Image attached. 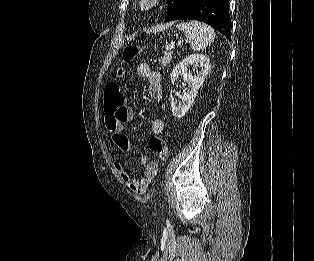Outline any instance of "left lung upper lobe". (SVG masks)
Instances as JSON below:
<instances>
[{
    "label": "left lung upper lobe",
    "mask_w": 314,
    "mask_h": 261,
    "mask_svg": "<svg viewBox=\"0 0 314 261\" xmlns=\"http://www.w3.org/2000/svg\"><path fill=\"white\" fill-rule=\"evenodd\" d=\"M183 1L184 0H167L168 14L165 21H169V19L175 15V13L178 11Z\"/></svg>",
    "instance_id": "1"
}]
</instances>
